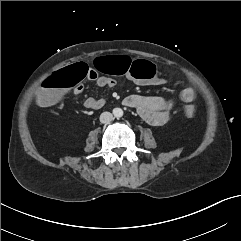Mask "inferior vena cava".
I'll return each mask as SVG.
<instances>
[{"label": "inferior vena cava", "instance_id": "inferior-vena-cava-1", "mask_svg": "<svg viewBox=\"0 0 241 241\" xmlns=\"http://www.w3.org/2000/svg\"><path fill=\"white\" fill-rule=\"evenodd\" d=\"M113 120V115L110 112H103L100 115V122L101 123H109Z\"/></svg>", "mask_w": 241, "mask_h": 241}]
</instances>
